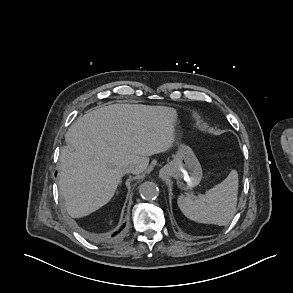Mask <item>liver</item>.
Returning a JSON list of instances; mask_svg holds the SVG:
<instances>
[{"label": "liver", "instance_id": "1", "mask_svg": "<svg viewBox=\"0 0 293 293\" xmlns=\"http://www.w3.org/2000/svg\"><path fill=\"white\" fill-rule=\"evenodd\" d=\"M177 118L173 108L138 104H113L79 117L60 153L59 190L69 215L81 218L106 205L127 168L140 174L149 156L168 151Z\"/></svg>", "mask_w": 293, "mask_h": 293}]
</instances>
